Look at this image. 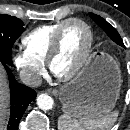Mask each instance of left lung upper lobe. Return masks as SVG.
Wrapping results in <instances>:
<instances>
[{
    "instance_id": "left-lung-upper-lobe-1",
    "label": "left lung upper lobe",
    "mask_w": 130,
    "mask_h": 130,
    "mask_svg": "<svg viewBox=\"0 0 130 130\" xmlns=\"http://www.w3.org/2000/svg\"><path fill=\"white\" fill-rule=\"evenodd\" d=\"M90 17L101 27L103 30L107 33V35L118 45L125 47L124 43L116 31V29L110 25L106 20H104L102 17L94 14L89 13Z\"/></svg>"
}]
</instances>
